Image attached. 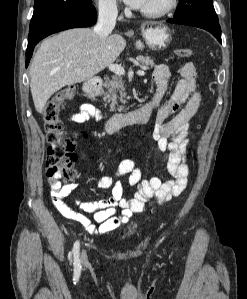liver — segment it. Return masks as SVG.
Instances as JSON below:
<instances>
[{
    "mask_svg": "<svg viewBox=\"0 0 247 299\" xmlns=\"http://www.w3.org/2000/svg\"><path fill=\"white\" fill-rule=\"evenodd\" d=\"M125 46L121 35L102 40L89 28L69 29L45 39L30 66V89L37 112L44 110L55 92L91 79L112 64Z\"/></svg>",
    "mask_w": 247,
    "mask_h": 299,
    "instance_id": "6515ba94",
    "label": "liver"
}]
</instances>
